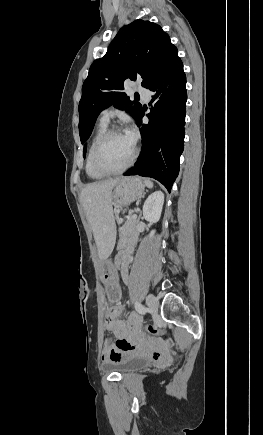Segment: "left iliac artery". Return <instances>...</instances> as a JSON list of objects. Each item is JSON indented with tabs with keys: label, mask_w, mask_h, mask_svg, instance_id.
Wrapping results in <instances>:
<instances>
[{
	"label": "left iliac artery",
	"mask_w": 263,
	"mask_h": 435,
	"mask_svg": "<svg viewBox=\"0 0 263 435\" xmlns=\"http://www.w3.org/2000/svg\"><path fill=\"white\" fill-rule=\"evenodd\" d=\"M135 309L140 313V314H145L147 312V309L139 302H135Z\"/></svg>",
	"instance_id": "obj_1"
}]
</instances>
